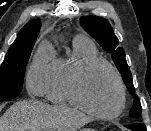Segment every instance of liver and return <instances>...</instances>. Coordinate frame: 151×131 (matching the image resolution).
<instances>
[{"label": "liver", "mask_w": 151, "mask_h": 131, "mask_svg": "<svg viewBox=\"0 0 151 131\" xmlns=\"http://www.w3.org/2000/svg\"><path fill=\"white\" fill-rule=\"evenodd\" d=\"M90 121L92 118L76 109L22 101L0 117V131H78Z\"/></svg>", "instance_id": "obj_1"}]
</instances>
